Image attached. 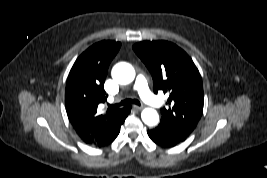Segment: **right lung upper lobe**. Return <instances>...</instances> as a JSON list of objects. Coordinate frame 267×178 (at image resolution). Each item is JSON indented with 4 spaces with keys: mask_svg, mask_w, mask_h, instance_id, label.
I'll return each instance as SVG.
<instances>
[{
    "mask_svg": "<svg viewBox=\"0 0 267 178\" xmlns=\"http://www.w3.org/2000/svg\"><path fill=\"white\" fill-rule=\"evenodd\" d=\"M120 42L101 41L89 47L75 61L66 83L65 105L73 128L82 140L93 137L115 122L123 108L111 107L100 113L98 105L106 100L104 82L108 67Z\"/></svg>",
    "mask_w": 267,
    "mask_h": 178,
    "instance_id": "obj_1",
    "label": "right lung upper lobe"
}]
</instances>
